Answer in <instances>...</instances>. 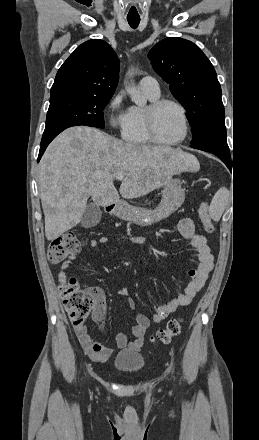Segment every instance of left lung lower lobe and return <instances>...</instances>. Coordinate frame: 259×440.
<instances>
[{
    "label": "left lung lower lobe",
    "mask_w": 259,
    "mask_h": 440,
    "mask_svg": "<svg viewBox=\"0 0 259 440\" xmlns=\"http://www.w3.org/2000/svg\"><path fill=\"white\" fill-rule=\"evenodd\" d=\"M192 148L210 152L218 156L228 168L231 166L230 150L226 139L214 138L204 142L191 145Z\"/></svg>",
    "instance_id": "obj_1"
}]
</instances>
